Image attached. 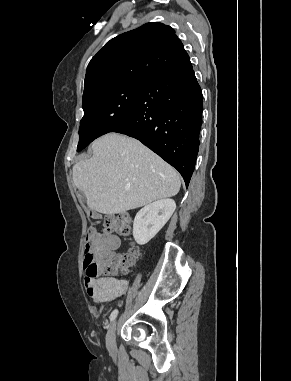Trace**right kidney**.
I'll use <instances>...</instances> for the list:
<instances>
[{
  "instance_id": "ca27d5eb",
  "label": "right kidney",
  "mask_w": 291,
  "mask_h": 381,
  "mask_svg": "<svg viewBox=\"0 0 291 381\" xmlns=\"http://www.w3.org/2000/svg\"><path fill=\"white\" fill-rule=\"evenodd\" d=\"M172 199H160L143 207L135 216L133 237L137 244L148 243L166 224L175 211Z\"/></svg>"
}]
</instances>
